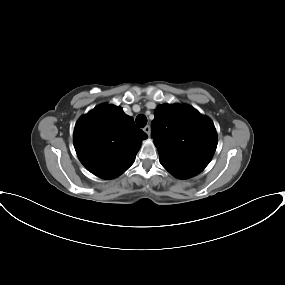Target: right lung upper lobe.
<instances>
[{
  "instance_id": "cb5924a9",
  "label": "right lung upper lobe",
  "mask_w": 285,
  "mask_h": 285,
  "mask_svg": "<svg viewBox=\"0 0 285 285\" xmlns=\"http://www.w3.org/2000/svg\"><path fill=\"white\" fill-rule=\"evenodd\" d=\"M147 137L120 107L107 104L82 116L73 134L81 163L103 179L115 178L126 171Z\"/></svg>"
}]
</instances>
